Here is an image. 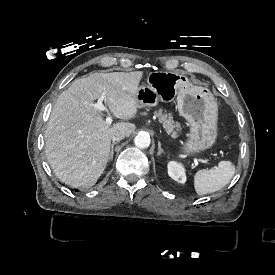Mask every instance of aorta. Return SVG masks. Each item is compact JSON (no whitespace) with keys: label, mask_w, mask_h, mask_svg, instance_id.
<instances>
[{"label":"aorta","mask_w":275,"mask_h":275,"mask_svg":"<svg viewBox=\"0 0 275 275\" xmlns=\"http://www.w3.org/2000/svg\"><path fill=\"white\" fill-rule=\"evenodd\" d=\"M150 142V137L147 134H138L134 138L135 146L141 149L149 147Z\"/></svg>","instance_id":"aorta-1"}]
</instances>
